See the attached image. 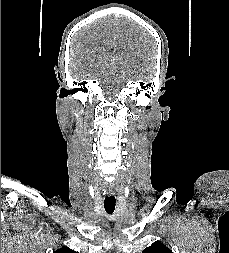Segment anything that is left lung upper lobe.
Returning <instances> with one entry per match:
<instances>
[{
	"mask_svg": "<svg viewBox=\"0 0 229 253\" xmlns=\"http://www.w3.org/2000/svg\"><path fill=\"white\" fill-rule=\"evenodd\" d=\"M142 253H173V252L161 242H155L151 246L144 249Z\"/></svg>",
	"mask_w": 229,
	"mask_h": 253,
	"instance_id": "1",
	"label": "left lung upper lobe"
}]
</instances>
